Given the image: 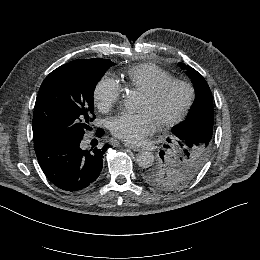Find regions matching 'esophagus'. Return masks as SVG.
<instances>
[{"mask_svg": "<svg viewBox=\"0 0 260 260\" xmlns=\"http://www.w3.org/2000/svg\"><path fill=\"white\" fill-rule=\"evenodd\" d=\"M124 145H125L126 147H128V148L134 150V151H140V150H141L140 147H138L137 145H134V144H132V143H129V142H125Z\"/></svg>", "mask_w": 260, "mask_h": 260, "instance_id": "esophagus-1", "label": "esophagus"}]
</instances>
